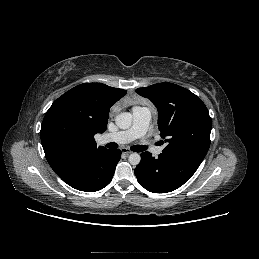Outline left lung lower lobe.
<instances>
[{
    "label": "left lung lower lobe",
    "instance_id": "left-lung-lower-lobe-1",
    "mask_svg": "<svg viewBox=\"0 0 259 259\" xmlns=\"http://www.w3.org/2000/svg\"><path fill=\"white\" fill-rule=\"evenodd\" d=\"M202 161L194 158L161 153L158 158L151 153H141V162L135 168L138 182L153 193L176 190L196 172Z\"/></svg>",
    "mask_w": 259,
    "mask_h": 259
}]
</instances>
